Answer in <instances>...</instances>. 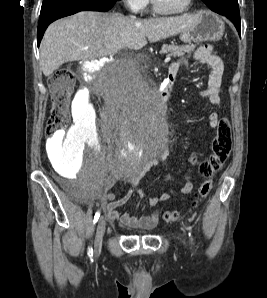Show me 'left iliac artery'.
Segmentation results:
<instances>
[{
  "mask_svg": "<svg viewBox=\"0 0 267 298\" xmlns=\"http://www.w3.org/2000/svg\"><path fill=\"white\" fill-rule=\"evenodd\" d=\"M187 230H189V236L191 237V227H187Z\"/></svg>",
  "mask_w": 267,
  "mask_h": 298,
  "instance_id": "44dca946",
  "label": "left iliac artery"
}]
</instances>
